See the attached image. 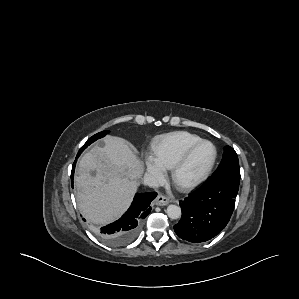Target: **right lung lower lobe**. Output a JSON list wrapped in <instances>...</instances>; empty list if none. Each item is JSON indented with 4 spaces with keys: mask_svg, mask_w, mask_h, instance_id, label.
I'll return each instance as SVG.
<instances>
[{
    "mask_svg": "<svg viewBox=\"0 0 299 299\" xmlns=\"http://www.w3.org/2000/svg\"><path fill=\"white\" fill-rule=\"evenodd\" d=\"M80 153L81 151H79L78 156ZM75 165L76 161L71 172L72 186ZM156 196V192L137 193L127 212L116 222L102 227L98 232L99 236L106 243L113 246L129 243L136 236L142 220L149 214L151 210L150 203Z\"/></svg>",
    "mask_w": 299,
    "mask_h": 299,
    "instance_id": "right-lung-lower-lobe-1",
    "label": "right lung lower lobe"
}]
</instances>
